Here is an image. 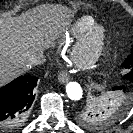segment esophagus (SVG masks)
<instances>
[{"instance_id":"obj_1","label":"esophagus","mask_w":133,"mask_h":133,"mask_svg":"<svg viewBox=\"0 0 133 133\" xmlns=\"http://www.w3.org/2000/svg\"><path fill=\"white\" fill-rule=\"evenodd\" d=\"M70 77H69V74L67 73V71L63 70L59 73L58 75V81L61 83V84H65L69 81Z\"/></svg>"}]
</instances>
